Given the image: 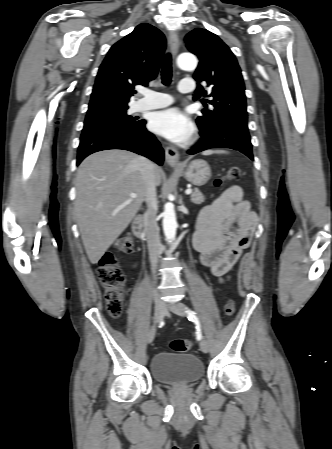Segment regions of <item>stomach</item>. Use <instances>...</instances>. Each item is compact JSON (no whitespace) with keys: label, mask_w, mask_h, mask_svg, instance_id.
Wrapping results in <instances>:
<instances>
[{"label":"stomach","mask_w":332,"mask_h":449,"mask_svg":"<svg viewBox=\"0 0 332 449\" xmlns=\"http://www.w3.org/2000/svg\"><path fill=\"white\" fill-rule=\"evenodd\" d=\"M185 179L196 186L205 185L211 178V169L208 163L202 159H196L185 163L178 169Z\"/></svg>","instance_id":"stomach-1"}]
</instances>
